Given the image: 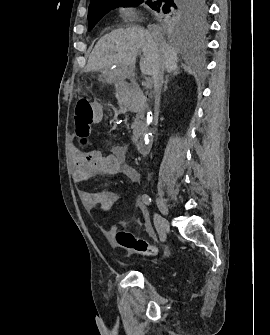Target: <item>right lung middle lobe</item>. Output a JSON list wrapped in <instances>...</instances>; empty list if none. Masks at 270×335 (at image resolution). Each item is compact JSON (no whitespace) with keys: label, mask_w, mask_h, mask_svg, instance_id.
I'll return each mask as SVG.
<instances>
[{"label":"right lung middle lobe","mask_w":270,"mask_h":335,"mask_svg":"<svg viewBox=\"0 0 270 335\" xmlns=\"http://www.w3.org/2000/svg\"><path fill=\"white\" fill-rule=\"evenodd\" d=\"M165 1L166 0H147L145 3L153 10H156L161 20L171 28L192 30L203 26L207 0H167L168 3L166 4ZM141 3H143V0H119L113 3L89 7V31L92 30L97 22L110 10L119 6H137ZM162 3L164 5H162Z\"/></svg>","instance_id":"1"}]
</instances>
